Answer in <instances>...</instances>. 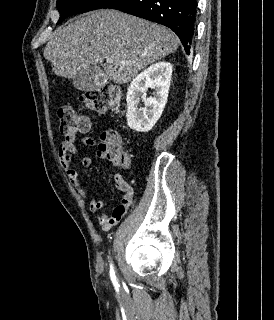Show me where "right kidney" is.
<instances>
[{"label":"right kidney","instance_id":"right-kidney-1","mask_svg":"<svg viewBox=\"0 0 274 320\" xmlns=\"http://www.w3.org/2000/svg\"><path fill=\"white\" fill-rule=\"evenodd\" d=\"M172 70L169 62H158L131 82L126 94V122L130 130L149 132L161 118L169 94ZM148 88L154 90L153 98H146ZM141 100L146 110H139Z\"/></svg>","mask_w":274,"mask_h":320}]
</instances>
